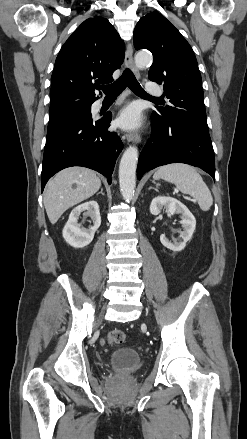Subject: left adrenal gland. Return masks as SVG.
Segmentation results:
<instances>
[{"label": "left adrenal gland", "mask_w": 247, "mask_h": 439, "mask_svg": "<svg viewBox=\"0 0 247 439\" xmlns=\"http://www.w3.org/2000/svg\"><path fill=\"white\" fill-rule=\"evenodd\" d=\"M154 189L156 191H158V188H154V187H149V190Z\"/></svg>", "instance_id": "left-adrenal-gland-1"}]
</instances>
